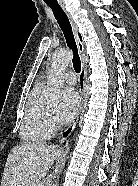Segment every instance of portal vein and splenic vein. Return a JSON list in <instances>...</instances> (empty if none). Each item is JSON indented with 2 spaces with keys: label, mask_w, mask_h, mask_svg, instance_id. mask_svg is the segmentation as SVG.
<instances>
[{
  "label": "portal vein and splenic vein",
  "mask_w": 138,
  "mask_h": 186,
  "mask_svg": "<svg viewBox=\"0 0 138 186\" xmlns=\"http://www.w3.org/2000/svg\"><path fill=\"white\" fill-rule=\"evenodd\" d=\"M36 186H43L41 183L37 184Z\"/></svg>",
  "instance_id": "obj_1"
}]
</instances>
